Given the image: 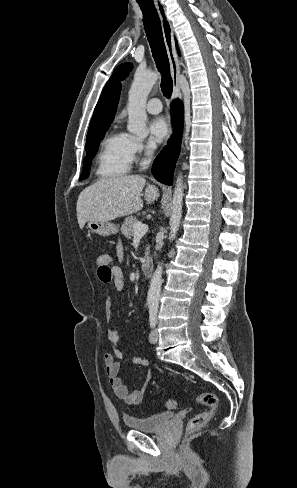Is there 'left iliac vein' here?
<instances>
[{"mask_svg":"<svg viewBox=\"0 0 297 488\" xmlns=\"http://www.w3.org/2000/svg\"><path fill=\"white\" fill-rule=\"evenodd\" d=\"M158 332L156 329H153L151 332H150V335H149V341L150 343L152 344H155L157 341H158Z\"/></svg>","mask_w":297,"mask_h":488,"instance_id":"1","label":"left iliac vein"}]
</instances>
